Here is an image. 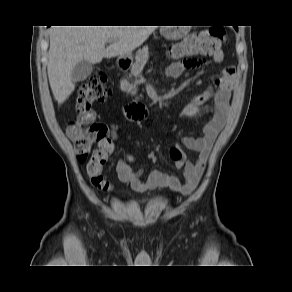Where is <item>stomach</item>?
I'll return each mask as SVG.
<instances>
[{"label":"stomach","instance_id":"stomach-1","mask_svg":"<svg viewBox=\"0 0 292 292\" xmlns=\"http://www.w3.org/2000/svg\"><path fill=\"white\" fill-rule=\"evenodd\" d=\"M164 32L166 33V31H164ZM181 37H182V34L180 31H170L169 32V38H171V39H180ZM127 57L129 59H132V56L130 54V55L125 56V57H119V60H126Z\"/></svg>","mask_w":292,"mask_h":292}]
</instances>
